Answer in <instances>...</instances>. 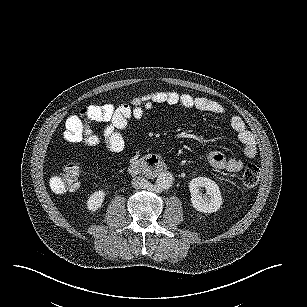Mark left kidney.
I'll use <instances>...</instances> for the list:
<instances>
[{"instance_id":"5707ae66","label":"left kidney","mask_w":307,"mask_h":307,"mask_svg":"<svg viewBox=\"0 0 307 307\" xmlns=\"http://www.w3.org/2000/svg\"><path fill=\"white\" fill-rule=\"evenodd\" d=\"M205 188V194H202ZM189 190L192 206L199 212L213 213L223 204L219 186L211 179L197 177L190 181Z\"/></svg>"}]
</instances>
